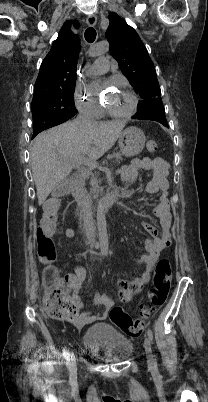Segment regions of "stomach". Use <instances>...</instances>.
Returning a JSON list of instances; mask_svg holds the SVG:
<instances>
[{
	"instance_id": "1",
	"label": "stomach",
	"mask_w": 208,
	"mask_h": 402,
	"mask_svg": "<svg viewBox=\"0 0 208 402\" xmlns=\"http://www.w3.org/2000/svg\"><path fill=\"white\" fill-rule=\"evenodd\" d=\"M146 138L139 128H126L119 136V148L127 158L138 156L145 146Z\"/></svg>"
}]
</instances>
